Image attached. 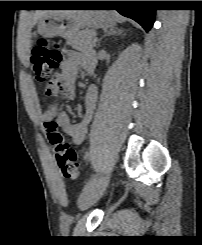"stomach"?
I'll return each mask as SVG.
<instances>
[{"instance_id": "obj_1", "label": "stomach", "mask_w": 202, "mask_h": 245, "mask_svg": "<svg viewBox=\"0 0 202 245\" xmlns=\"http://www.w3.org/2000/svg\"><path fill=\"white\" fill-rule=\"evenodd\" d=\"M115 24L114 15L105 10H90L68 15L49 12L39 19L37 32L43 38L61 36L70 39L78 34L80 29L114 27Z\"/></svg>"}]
</instances>
